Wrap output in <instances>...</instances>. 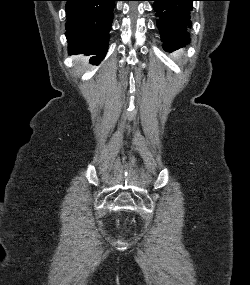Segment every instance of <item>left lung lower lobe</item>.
<instances>
[{"label":"left lung lower lobe","mask_w":250,"mask_h":285,"mask_svg":"<svg viewBox=\"0 0 250 285\" xmlns=\"http://www.w3.org/2000/svg\"><path fill=\"white\" fill-rule=\"evenodd\" d=\"M154 1L157 27L163 47L172 52L190 42L188 30L191 28L190 12L196 0H150Z\"/></svg>","instance_id":"left-lung-lower-lobe-1"}]
</instances>
